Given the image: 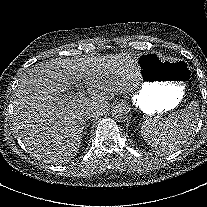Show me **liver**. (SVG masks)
Instances as JSON below:
<instances>
[{"label": "liver", "instance_id": "obj_1", "mask_svg": "<svg viewBox=\"0 0 207 207\" xmlns=\"http://www.w3.org/2000/svg\"><path fill=\"white\" fill-rule=\"evenodd\" d=\"M82 79L97 87L93 66L73 61H45L21 78L12 129L30 151L44 147L48 154H73L79 148L85 119L96 110L95 99L71 89Z\"/></svg>", "mask_w": 207, "mask_h": 207}]
</instances>
